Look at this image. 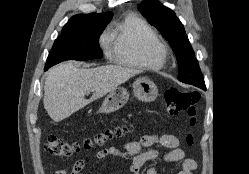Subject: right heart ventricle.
Masks as SVG:
<instances>
[{
    "instance_id": "obj_1",
    "label": "right heart ventricle",
    "mask_w": 249,
    "mask_h": 174,
    "mask_svg": "<svg viewBox=\"0 0 249 174\" xmlns=\"http://www.w3.org/2000/svg\"><path fill=\"white\" fill-rule=\"evenodd\" d=\"M110 58L122 66L159 70L163 61L152 56L149 47L159 43L153 28L135 14L126 15L112 24L109 32Z\"/></svg>"
}]
</instances>
